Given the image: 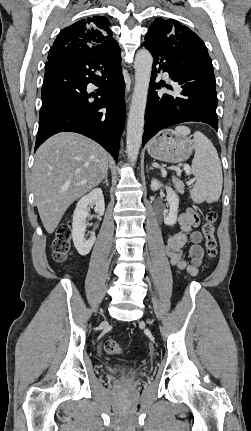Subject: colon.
Here are the masks:
<instances>
[{
  "label": "colon",
  "instance_id": "1",
  "mask_svg": "<svg viewBox=\"0 0 251 431\" xmlns=\"http://www.w3.org/2000/svg\"><path fill=\"white\" fill-rule=\"evenodd\" d=\"M217 214L214 211L207 212L201 227L205 238V248L209 258H215L218 254V241L215 236ZM71 251V224L69 221L61 223L55 233L52 242V256L56 262H63ZM104 350L110 355H120L121 345L112 339L106 340Z\"/></svg>",
  "mask_w": 251,
  "mask_h": 431
}]
</instances>
